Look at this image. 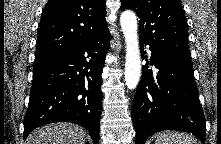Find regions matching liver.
<instances>
[{
	"instance_id": "liver-1",
	"label": "liver",
	"mask_w": 221,
	"mask_h": 144,
	"mask_svg": "<svg viewBox=\"0 0 221 144\" xmlns=\"http://www.w3.org/2000/svg\"><path fill=\"white\" fill-rule=\"evenodd\" d=\"M86 132L72 123H53L34 130L27 144H85Z\"/></svg>"
}]
</instances>
